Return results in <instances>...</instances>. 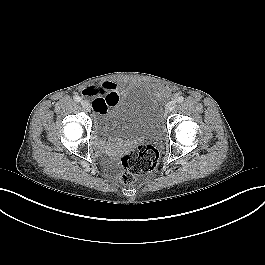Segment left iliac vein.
Here are the masks:
<instances>
[{
    "label": "left iliac vein",
    "mask_w": 265,
    "mask_h": 265,
    "mask_svg": "<svg viewBox=\"0 0 265 265\" xmlns=\"http://www.w3.org/2000/svg\"><path fill=\"white\" fill-rule=\"evenodd\" d=\"M175 107H176L175 101L168 102L166 105V108H165L166 112L169 113V112L173 111L175 109Z\"/></svg>",
    "instance_id": "left-iliac-vein-1"
}]
</instances>
